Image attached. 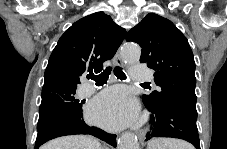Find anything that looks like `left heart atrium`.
Instances as JSON below:
<instances>
[{
    "mask_svg": "<svg viewBox=\"0 0 227 149\" xmlns=\"http://www.w3.org/2000/svg\"><path fill=\"white\" fill-rule=\"evenodd\" d=\"M138 106L121 87L101 92L88 110V118L108 129H119L131 124L137 117Z\"/></svg>",
    "mask_w": 227,
    "mask_h": 149,
    "instance_id": "obj_1",
    "label": "left heart atrium"
}]
</instances>
